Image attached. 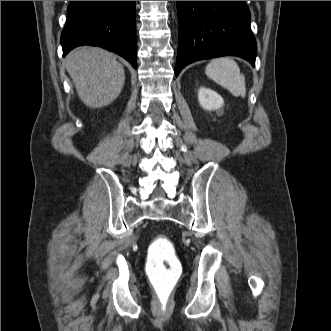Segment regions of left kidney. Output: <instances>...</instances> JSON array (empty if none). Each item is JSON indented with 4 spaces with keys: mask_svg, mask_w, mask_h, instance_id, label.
Wrapping results in <instances>:
<instances>
[{
    "mask_svg": "<svg viewBox=\"0 0 331 331\" xmlns=\"http://www.w3.org/2000/svg\"><path fill=\"white\" fill-rule=\"evenodd\" d=\"M198 100L202 108L208 111L217 110L224 103L223 98L218 93L203 87L198 91Z\"/></svg>",
    "mask_w": 331,
    "mask_h": 331,
    "instance_id": "5707ae66",
    "label": "left kidney"
}]
</instances>
